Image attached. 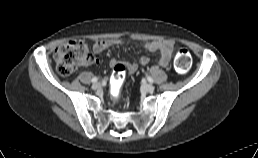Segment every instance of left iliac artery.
Wrapping results in <instances>:
<instances>
[{
  "label": "left iliac artery",
  "mask_w": 258,
  "mask_h": 158,
  "mask_svg": "<svg viewBox=\"0 0 258 158\" xmlns=\"http://www.w3.org/2000/svg\"><path fill=\"white\" fill-rule=\"evenodd\" d=\"M147 79H148V81H149L150 83H153V82H154L153 79H152L150 76H148Z\"/></svg>",
  "instance_id": "1"
}]
</instances>
